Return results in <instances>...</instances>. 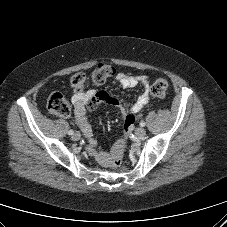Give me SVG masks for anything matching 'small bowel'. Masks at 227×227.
Returning a JSON list of instances; mask_svg holds the SVG:
<instances>
[{
	"instance_id": "1",
	"label": "small bowel",
	"mask_w": 227,
	"mask_h": 227,
	"mask_svg": "<svg viewBox=\"0 0 227 227\" xmlns=\"http://www.w3.org/2000/svg\"><path fill=\"white\" fill-rule=\"evenodd\" d=\"M115 81L118 82L123 88H133L135 86H141L143 88V93L136 99V101L128 110L121 107L117 99L109 96L105 92L94 94L92 91H85L75 93L72 96V103L74 106V121L88 140V152L91 155L95 156L97 161L103 166H108L114 155L118 151L124 150V147L126 145V137L124 136L119 139L110 151H106L100 148L93 137V131L86 116V105L90 109L95 108L101 102L119 106L123 116L124 124L128 116L135 115L140 110H142V108L149 103L151 98V79L147 75L118 73L115 77ZM131 127L126 129V131H129Z\"/></svg>"
}]
</instances>
